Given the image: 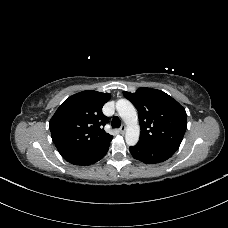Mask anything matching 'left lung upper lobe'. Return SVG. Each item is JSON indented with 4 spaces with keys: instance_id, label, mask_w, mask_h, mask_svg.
I'll use <instances>...</instances> for the list:
<instances>
[{
    "instance_id": "5c2ea615",
    "label": "left lung upper lobe",
    "mask_w": 228,
    "mask_h": 228,
    "mask_svg": "<svg viewBox=\"0 0 228 228\" xmlns=\"http://www.w3.org/2000/svg\"><path fill=\"white\" fill-rule=\"evenodd\" d=\"M136 107L141 128L139 145L177 151L187 127L185 109L171 96L142 87L135 93L123 92Z\"/></svg>"
}]
</instances>
